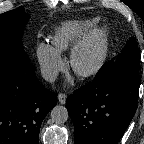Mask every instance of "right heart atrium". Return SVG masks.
I'll use <instances>...</instances> for the list:
<instances>
[{"instance_id":"right-heart-atrium-1","label":"right heart atrium","mask_w":144,"mask_h":144,"mask_svg":"<svg viewBox=\"0 0 144 144\" xmlns=\"http://www.w3.org/2000/svg\"><path fill=\"white\" fill-rule=\"evenodd\" d=\"M36 56L41 71L47 79H53L64 66L60 52L50 44H39L36 48Z\"/></svg>"}]
</instances>
